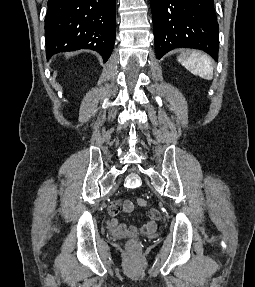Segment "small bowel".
<instances>
[{"label": "small bowel", "instance_id": "small-bowel-1", "mask_svg": "<svg viewBox=\"0 0 255 287\" xmlns=\"http://www.w3.org/2000/svg\"><path fill=\"white\" fill-rule=\"evenodd\" d=\"M133 208L134 205L130 200H115L109 205L108 212L111 216H116L121 210L130 213ZM147 216V222L141 226L126 225L119 219L113 218L110 222V228L114 233L119 235H131L136 233L150 234L156 230L157 222L161 220L162 215L156 209H149Z\"/></svg>", "mask_w": 255, "mask_h": 287}]
</instances>
